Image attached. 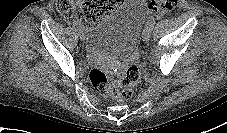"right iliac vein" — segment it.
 Here are the masks:
<instances>
[{
  "instance_id": "1",
  "label": "right iliac vein",
  "mask_w": 227,
  "mask_h": 133,
  "mask_svg": "<svg viewBox=\"0 0 227 133\" xmlns=\"http://www.w3.org/2000/svg\"><path fill=\"white\" fill-rule=\"evenodd\" d=\"M78 36L81 41H85V34L81 30L78 31Z\"/></svg>"
}]
</instances>
